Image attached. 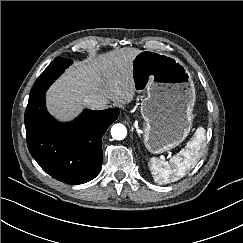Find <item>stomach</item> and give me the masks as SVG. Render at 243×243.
I'll return each mask as SVG.
<instances>
[{"mask_svg": "<svg viewBox=\"0 0 243 243\" xmlns=\"http://www.w3.org/2000/svg\"><path fill=\"white\" fill-rule=\"evenodd\" d=\"M133 79L141 103L144 145L160 154L179 145L188 136L193 121L196 94L190 72L176 57L152 50L133 59Z\"/></svg>", "mask_w": 243, "mask_h": 243, "instance_id": "stomach-1", "label": "stomach"}]
</instances>
